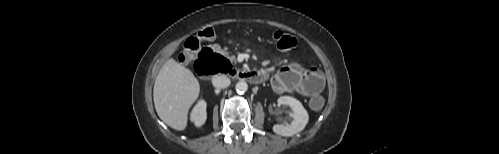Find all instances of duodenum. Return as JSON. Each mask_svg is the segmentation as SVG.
I'll return each mask as SVG.
<instances>
[{
    "label": "duodenum",
    "instance_id": "410a0bca",
    "mask_svg": "<svg viewBox=\"0 0 499 154\" xmlns=\"http://www.w3.org/2000/svg\"><path fill=\"white\" fill-rule=\"evenodd\" d=\"M214 58H221L219 54L209 51L205 57H201L196 63V70L199 75L207 77L212 74V71L216 69L219 64ZM222 59V58H221ZM231 76L240 81H247L253 84H259L264 82L265 76L256 70L250 71H236L231 74Z\"/></svg>",
    "mask_w": 499,
    "mask_h": 154
}]
</instances>
